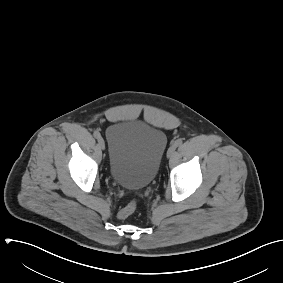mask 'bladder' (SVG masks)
I'll use <instances>...</instances> for the list:
<instances>
[{"mask_svg":"<svg viewBox=\"0 0 283 283\" xmlns=\"http://www.w3.org/2000/svg\"><path fill=\"white\" fill-rule=\"evenodd\" d=\"M106 138L111 178L126 189L140 190L149 186L167 147L166 133L135 120L111 124Z\"/></svg>","mask_w":283,"mask_h":283,"instance_id":"1","label":"bladder"}]
</instances>
